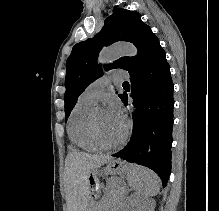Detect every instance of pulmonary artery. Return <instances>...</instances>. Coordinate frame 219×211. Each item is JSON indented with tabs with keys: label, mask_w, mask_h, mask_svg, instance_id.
<instances>
[{
	"label": "pulmonary artery",
	"mask_w": 219,
	"mask_h": 211,
	"mask_svg": "<svg viewBox=\"0 0 219 211\" xmlns=\"http://www.w3.org/2000/svg\"><path fill=\"white\" fill-rule=\"evenodd\" d=\"M111 74H124V69H111ZM109 77L104 76L89 84L80 95V99L96 103L99 95L105 90ZM112 80H130V75H112Z\"/></svg>",
	"instance_id": "pulmonary-artery-1"
}]
</instances>
